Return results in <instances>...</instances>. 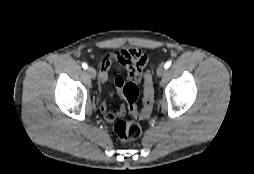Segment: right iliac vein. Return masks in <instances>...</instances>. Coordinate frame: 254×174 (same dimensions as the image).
Returning a JSON list of instances; mask_svg holds the SVG:
<instances>
[{
    "label": "right iliac vein",
    "mask_w": 254,
    "mask_h": 174,
    "mask_svg": "<svg viewBox=\"0 0 254 174\" xmlns=\"http://www.w3.org/2000/svg\"><path fill=\"white\" fill-rule=\"evenodd\" d=\"M86 71H87L88 75H89L92 79H95V78H96V71H95L94 68L88 67Z\"/></svg>",
    "instance_id": "right-iliac-vein-1"
}]
</instances>
